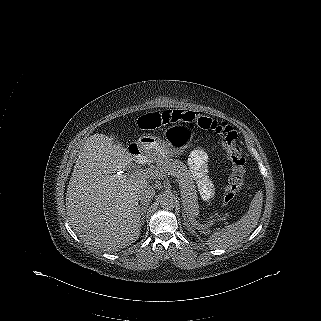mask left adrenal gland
Listing matches in <instances>:
<instances>
[{"mask_svg":"<svg viewBox=\"0 0 321 321\" xmlns=\"http://www.w3.org/2000/svg\"><path fill=\"white\" fill-rule=\"evenodd\" d=\"M183 219H184V221H185L186 227H187L188 230H189V227H190V226H189L188 222H186V221H187L186 214H184Z\"/></svg>","mask_w":321,"mask_h":321,"instance_id":"1","label":"left adrenal gland"}]
</instances>
